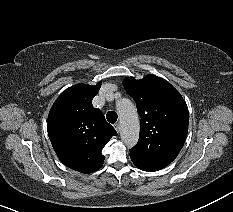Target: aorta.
Here are the masks:
<instances>
[{"label": "aorta", "instance_id": "1", "mask_svg": "<svg viewBox=\"0 0 233 212\" xmlns=\"http://www.w3.org/2000/svg\"><path fill=\"white\" fill-rule=\"evenodd\" d=\"M116 107L119 115L121 139L128 147H133L139 138L140 123L137 110L134 104L126 98L118 100Z\"/></svg>", "mask_w": 233, "mask_h": 212}]
</instances>
